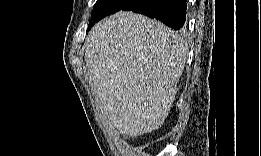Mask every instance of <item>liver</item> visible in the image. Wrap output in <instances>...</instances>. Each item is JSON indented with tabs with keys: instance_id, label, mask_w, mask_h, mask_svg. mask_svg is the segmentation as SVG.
Listing matches in <instances>:
<instances>
[{
	"instance_id": "1",
	"label": "liver",
	"mask_w": 261,
	"mask_h": 156,
	"mask_svg": "<svg viewBox=\"0 0 261 156\" xmlns=\"http://www.w3.org/2000/svg\"><path fill=\"white\" fill-rule=\"evenodd\" d=\"M84 47L104 119L127 137L158 130L186 63L184 40L159 21L120 11L98 22Z\"/></svg>"
}]
</instances>
